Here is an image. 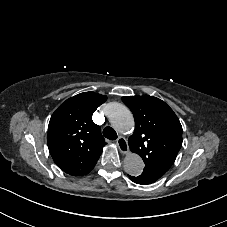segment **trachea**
<instances>
[{"mask_svg":"<svg viewBox=\"0 0 227 227\" xmlns=\"http://www.w3.org/2000/svg\"><path fill=\"white\" fill-rule=\"evenodd\" d=\"M103 135L109 140H115L117 138L116 131L111 127H106L103 129Z\"/></svg>","mask_w":227,"mask_h":227,"instance_id":"obj_1","label":"trachea"}]
</instances>
